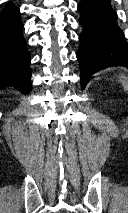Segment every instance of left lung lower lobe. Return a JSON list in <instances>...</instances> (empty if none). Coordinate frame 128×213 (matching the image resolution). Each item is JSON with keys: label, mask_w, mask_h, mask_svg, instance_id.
Segmentation results:
<instances>
[{"label": "left lung lower lobe", "mask_w": 128, "mask_h": 213, "mask_svg": "<svg viewBox=\"0 0 128 213\" xmlns=\"http://www.w3.org/2000/svg\"><path fill=\"white\" fill-rule=\"evenodd\" d=\"M78 10L83 30L77 59L84 89L93 73L108 66L128 67V44L110 0H81Z\"/></svg>", "instance_id": "obj_1"}]
</instances>
